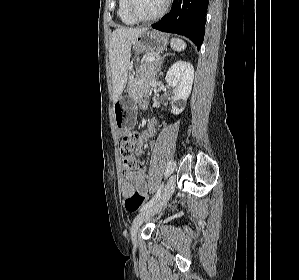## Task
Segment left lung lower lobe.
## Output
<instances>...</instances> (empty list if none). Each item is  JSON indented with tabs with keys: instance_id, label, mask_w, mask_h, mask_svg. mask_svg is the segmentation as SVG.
<instances>
[{
	"instance_id": "0a47b994",
	"label": "left lung lower lobe",
	"mask_w": 299,
	"mask_h": 280,
	"mask_svg": "<svg viewBox=\"0 0 299 280\" xmlns=\"http://www.w3.org/2000/svg\"><path fill=\"white\" fill-rule=\"evenodd\" d=\"M208 0H174L171 11L153 28L169 33L184 35L192 40L198 50L205 32Z\"/></svg>"
}]
</instances>
